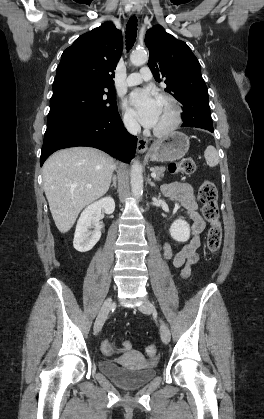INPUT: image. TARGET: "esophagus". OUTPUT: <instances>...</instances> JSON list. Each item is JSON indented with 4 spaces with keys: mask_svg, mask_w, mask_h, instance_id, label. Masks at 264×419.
<instances>
[{
    "mask_svg": "<svg viewBox=\"0 0 264 419\" xmlns=\"http://www.w3.org/2000/svg\"><path fill=\"white\" fill-rule=\"evenodd\" d=\"M140 13V7L138 5L134 6L132 9V14L137 16ZM148 141L145 138H139L137 143V152L144 153L147 150Z\"/></svg>",
    "mask_w": 264,
    "mask_h": 419,
    "instance_id": "1",
    "label": "esophagus"
}]
</instances>
